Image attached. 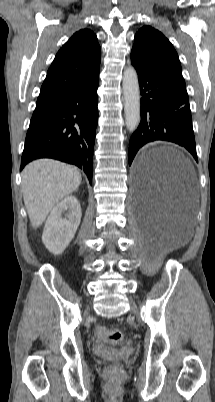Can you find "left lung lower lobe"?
<instances>
[{
  "instance_id": "obj_1",
  "label": "left lung lower lobe",
  "mask_w": 215,
  "mask_h": 402,
  "mask_svg": "<svg viewBox=\"0 0 215 402\" xmlns=\"http://www.w3.org/2000/svg\"><path fill=\"white\" fill-rule=\"evenodd\" d=\"M134 67L142 95L141 121L129 142V165L142 146L154 141L178 144L198 162L187 92L160 75Z\"/></svg>"
}]
</instances>
